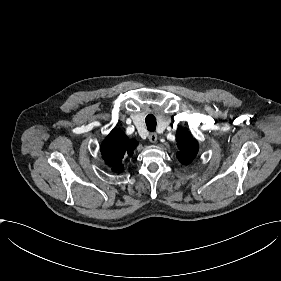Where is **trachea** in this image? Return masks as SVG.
<instances>
[{"mask_svg":"<svg viewBox=\"0 0 281 281\" xmlns=\"http://www.w3.org/2000/svg\"><path fill=\"white\" fill-rule=\"evenodd\" d=\"M145 122H146V126H147L148 131H151V132L155 131L157 122H156V118H155L154 115L149 114L146 117Z\"/></svg>","mask_w":281,"mask_h":281,"instance_id":"3493384b","label":"trachea"}]
</instances>
